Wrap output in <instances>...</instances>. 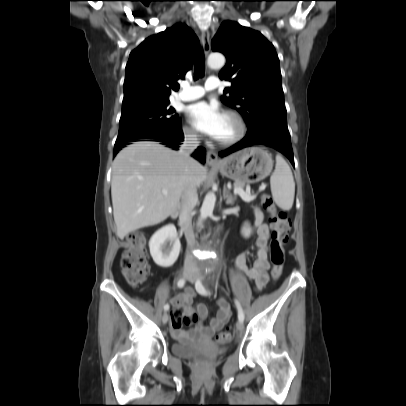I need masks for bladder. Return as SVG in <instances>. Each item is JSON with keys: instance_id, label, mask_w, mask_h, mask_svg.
I'll return each instance as SVG.
<instances>
[{"instance_id": "obj_1", "label": "bladder", "mask_w": 406, "mask_h": 406, "mask_svg": "<svg viewBox=\"0 0 406 406\" xmlns=\"http://www.w3.org/2000/svg\"><path fill=\"white\" fill-rule=\"evenodd\" d=\"M197 350V346L190 342H175L172 346V353L179 357H192ZM226 347H219L215 350L216 353L226 352Z\"/></svg>"}]
</instances>
